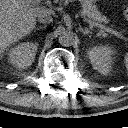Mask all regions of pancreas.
<instances>
[{
    "label": "pancreas",
    "instance_id": "obj_1",
    "mask_svg": "<svg viewBox=\"0 0 128 128\" xmlns=\"http://www.w3.org/2000/svg\"><path fill=\"white\" fill-rule=\"evenodd\" d=\"M61 1H75V0H61ZM77 1V0H76ZM82 6L81 16L88 20H93L97 22L98 27L101 29L114 34L118 37L121 36L119 32L114 31L111 28L105 27L101 23H108V19L106 16L102 15L101 12L98 10L97 6L93 4V0H78Z\"/></svg>",
    "mask_w": 128,
    "mask_h": 128
}]
</instances>
